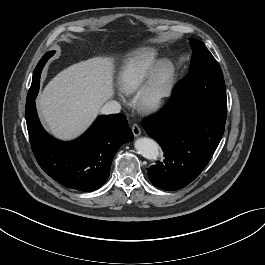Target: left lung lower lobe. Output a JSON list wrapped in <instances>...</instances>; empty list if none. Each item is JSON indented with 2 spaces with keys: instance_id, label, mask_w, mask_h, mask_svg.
Listing matches in <instances>:
<instances>
[{
  "instance_id": "1",
  "label": "left lung lower lobe",
  "mask_w": 265,
  "mask_h": 265,
  "mask_svg": "<svg viewBox=\"0 0 265 265\" xmlns=\"http://www.w3.org/2000/svg\"><path fill=\"white\" fill-rule=\"evenodd\" d=\"M225 122L193 104H170L143 122L147 134L163 149L165 159L150 166L148 177L160 189L173 191L191 183L216 150Z\"/></svg>"
}]
</instances>
